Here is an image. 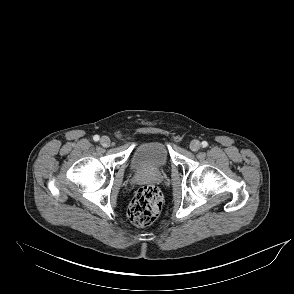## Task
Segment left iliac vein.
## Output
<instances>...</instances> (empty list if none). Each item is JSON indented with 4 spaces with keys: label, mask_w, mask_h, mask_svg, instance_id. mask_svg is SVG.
<instances>
[{
    "label": "left iliac vein",
    "mask_w": 294,
    "mask_h": 294,
    "mask_svg": "<svg viewBox=\"0 0 294 294\" xmlns=\"http://www.w3.org/2000/svg\"><path fill=\"white\" fill-rule=\"evenodd\" d=\"M201 148V144L198 140H193L190 143V149L194 152H197Z\"/></svg>",
    "instance_id": "left-iliac-vein-1"
}]
</instances>
